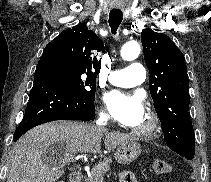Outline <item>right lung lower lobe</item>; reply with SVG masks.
<instances>
[{
	"instance_id": "1",
	"label": "right lung lower lobe",
	"mask_w": 211,
	"mask_h": 182,
	"mask_svg": "<svg viewBox=\"0 0 211 182\" xmlns=\"http://www.w3.org/2000/svg\"><path fill=\"white\" fill-rule=\"evenodd\" d=\"M94 117V101L81 96L55 64L41 57L35 71L29 103L13 140L17 141L29 129L45 122L89 121Z\"/></svg>"
}]
</instances>
